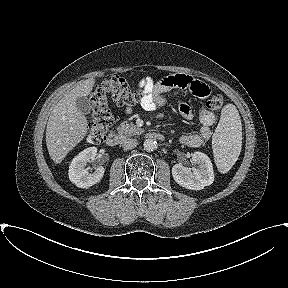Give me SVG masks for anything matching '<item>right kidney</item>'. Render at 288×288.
Masks as SVG:
<instances>
[{
    "label": "right kidney",
    "instance_id": "obj_1",
    "mask_svg": "<svg viewBox=\"0 0 288 288\" xmlns=\"http://www.w3.org/2000/svg\"><path fill=\"white\" fill-rule=\"evenodd\" d=\"M97 155L96 147H89L80 152L71 162L69 166V179L77 187L89 188L102 179L105 169L103 167H97L93 173H90L86 164L95 160Z\"/></svg>",
    "mask_w": 288,
    "mask_h": 288
}]
</instances>
